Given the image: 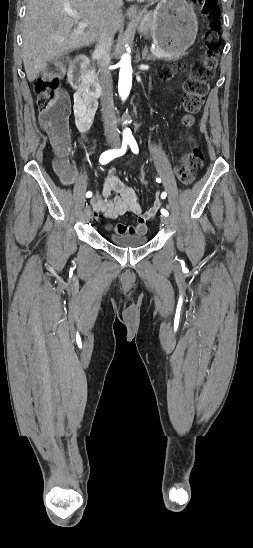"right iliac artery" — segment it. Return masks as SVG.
Segmentation results:
<instances>
[{"label": "right iliac artery", "mask_w": 253, "mask_h": 548, "mask_svg": "<svg viewBox=\"0 0 253 548\" xmlns=\"http://www.w3.org/2000/svg\"><path fill=\"white\" fill-rule=\"evenodd\" d=\"M126 150H127V141H124L123 144H122V147L120 149H111V150H107V151L103 152L101 154L100 158H99V162L102 165H105L108 162H110L112 159L124 155ZM86 196L91 197L92 192H90V191L87 192Z\"/></svg>", "instance_id": "right-iliac-artery-1"}]
</instances>
